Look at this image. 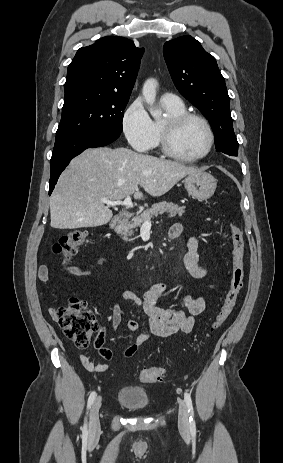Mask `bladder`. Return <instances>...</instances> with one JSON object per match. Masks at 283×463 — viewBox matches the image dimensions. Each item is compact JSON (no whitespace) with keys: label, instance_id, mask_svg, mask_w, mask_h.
I'll return each mask as SVG.
<instances>
[{"label":"bladder","instance_id":"bladder-1","mask_svg":"<svg viewBox=\"0 0 283 463\" xmlns=\"http://www.w3.org/2000/svg\"><path fill=\"white\" fill-rule=\"evenodd\" d=\"M117 402L136 411L145 410L150 405L147 391L135 386L121 387L117 395Z\"/></svg>","mask_w":283,"mask_h":463}]
</instances>
